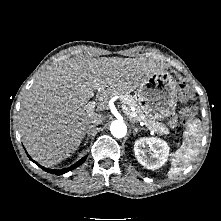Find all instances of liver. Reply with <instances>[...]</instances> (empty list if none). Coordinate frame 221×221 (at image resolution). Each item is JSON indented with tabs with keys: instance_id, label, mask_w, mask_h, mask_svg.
<instances>
[{
	"instance_id": "6515ba94",
	"label": "liver",
	"mask_w": 221,
	"mask_h": 221,
	"mask_svg": "<svg viewBox=\"0 0 221 221\" xmlns=\"http://www.w3.org/2000/svg\"><path fill=\"white\" fill-rule=\"evenodd\" d=\"M163 66L144 58L75 57L50 67L27 91L19 112L20 133L30 156L52 167L80 146L90 119L106 101L137 89ZM93 96L99 104L89 101Z\"/></svg>"
}]
</instances>
